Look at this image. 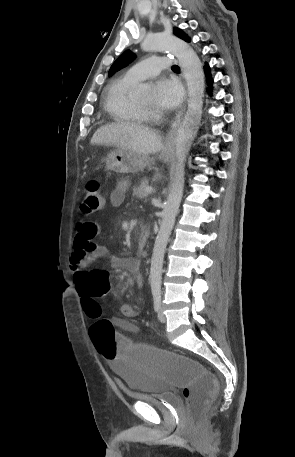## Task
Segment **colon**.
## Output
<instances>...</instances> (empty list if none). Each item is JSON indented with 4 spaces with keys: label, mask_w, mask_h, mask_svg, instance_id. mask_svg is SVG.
Segmentation results:
<instances>
[{
    "label": "colon",
    "mask_w": 295,
    "mask_h": 457,
    "mask_svg": "<svg viewBox=\"0 0 295 457\" xmlns=\"http://www.w3.org/2000/svg\"><path fill=\"white\" fill-rule=\"evenodd\" d=\"M105 207V198L97 180H90L85 186V196L80 205L83 215H91ZM110 293V274L95 269L87 272V281L81 287L84 311L95 320L90 336L96 355L113 363L127 362L128 366H140V372H159L166 383H177V390H183L186 402V417L196 421L217 390V374H210L203 363H195L190 357H182L181 351H165L164 346H136L128 341L125 330H115L113 323L101 317L97 302L103 294Z\"/></svg>",
    "instance_id": "1"
}]
</instances>
